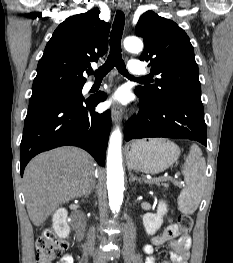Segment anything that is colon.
<instances>
[{"label": "colon", "mask_w": 233, "mask_h": 263, "mask_svg": "<svg viewBox=\"0 0 233 263\" xmlns=\"http://www.w3.org/2000/svg\"><path fill=\"white\" fill-rule=\"evenodd\" d=\"M178 225L183 233L190 232L193 220L190 215L178 217ZM68 248V243L60 239L53 231L44 232L36 241V263H53Z\"/></svg>", "instance_id": "obj_1"}]
</instances>
